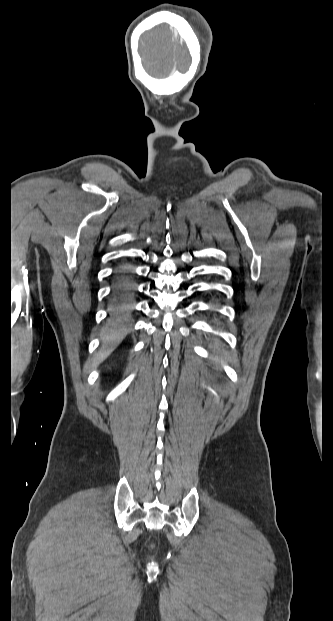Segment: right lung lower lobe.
Segmentation results:
<instances>
[{"label": "right lung lower lobe", "mask_w": 333, "mask_h": 621, "mask_svg": "<svg viewBox=\"0 0 333 621\" xmlns=\"http://www.w3.org/2000/svg\"><path fill=\"white\" fill-rule=\"evenodd\" d=\"M116 289L113 293V303L120 307H126L134 293L132 269L124 265L117 270L114 275Z\"/></svg>", "instance_id": "right-lung-lower-lobe-1"}]
</instances>
